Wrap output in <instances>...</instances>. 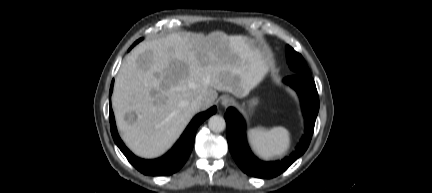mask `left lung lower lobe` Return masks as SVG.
<instances>
[{"label": "left lung lower lobe", "instance_id": "obj_1", "mask_svg": "<svg viewBox=\"0 0 432 193\" xmlns=\"http://www.w3.org/2000/svg\"><path fill=\"white\" fill-rule=\"evenodd\" d=\"M284 83L293 88L300 97L305 117V135L296 152L282 161L264 162L251 152L245 136V122L234 109L228 108L225 114L227 140L230 152L237 165L248 175L258 178H272L285 171L308 148L315 120L319 110L316 85L311 75L295 74L284 79Z\"/></svg>", "mask_w": 432, "mask_h": 193}]
</instances>
